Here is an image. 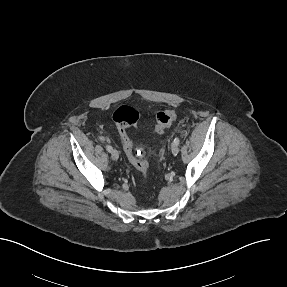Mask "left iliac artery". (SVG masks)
Segmentation results:
<instances>
[{"label": "left iliac artery", "instance_id": "1", "mask_svg": "<svg viewBox=\"0 0 287 287\" xmlns=\"http://www.w3.org/2000/svg\"><path fill=\"white\" fill-rule=\"evenodd\" d=\"M174 143H176L177 145H179V143H180L179 138H175V139H174Z\"/></svg>", "mask_w": 287, "mask_h": 287}]
</instances>
